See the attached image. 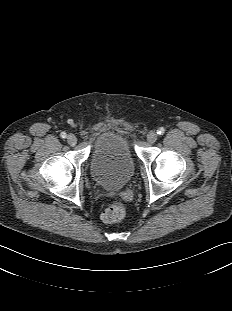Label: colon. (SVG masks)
Returning a JSON list of instances; mask_svg holds the SVG:
<instances>
[{"label": "colon", "mask_w": 232, "mask_h": 311, "mask_svg": "<svg viewBox=\"0 0 232 311\" xmlns=\"http://www.w3.org/2000/svg\"><path fill=\"white\" fill-rule=\"evenodd\" d=\"M125 216V207L120 201H114L102 213V219L106 223H117Z\"/></svg>", "instance_id": "1"}]
</instances>
